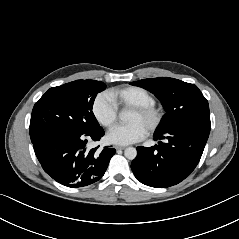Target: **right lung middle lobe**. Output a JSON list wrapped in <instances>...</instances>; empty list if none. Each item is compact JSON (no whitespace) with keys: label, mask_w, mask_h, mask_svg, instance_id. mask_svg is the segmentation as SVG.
Listing matches in <instances>:
<instances>
[{"label":"right lung middle lobe","mask_w":239,"mask_h":239,"mask_svg":"<svg viewBox=\"0 0 239 239\" xmlns=\"http://www.w3.org/2000/svg\"><path fill=\"white\" fill-rule=\"evenodd\" d=\"M103 82L76 80L50 88L34 105L30 121L32 143L41 135L58 130L88 132L99 128L92 107Z\"/></svg>","instance_id":"1"}]
</instances>
